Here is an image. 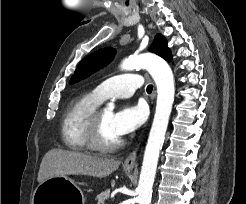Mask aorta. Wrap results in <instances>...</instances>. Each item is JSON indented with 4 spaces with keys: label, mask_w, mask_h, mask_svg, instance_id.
<instances>
[{
    "label": "aorta",
    "mask_w": 246,
    "mask_h": 204,
    "mask_svg": "<svg viewBox=\"0 0 246 204\" xmlns=\"http://www.w3.org/2000/svg\"><path fill=\"white\" fill-rule=\"evenodd\" d=\"M120 67L126 71L137 67L145 68L154 79L157 87L156 111L144 153L138 184V203L150 204L158 159L174 101V76L168 63L161 57L151 53L132 55L124 59ZM114 107V103H108L104 113L111 114Z\"/></svg>",
    "instance_id": "aorta-1"
}]
</instances>
